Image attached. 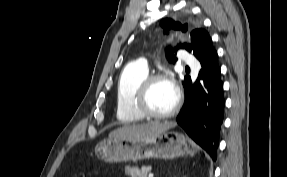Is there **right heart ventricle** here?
I'll return each instance as SVG.
<instances>
[{
	"label": "right heart ventricle",
	"instance_id": "e07e8e85",
	"mask_svg": "<svg viewBox=\"0 0 287 177\" xmlns=\"http://www.w3.org/2000/svg\"><path fill=\"white\" fill-rule=\"evenodd\" d=\"M148 75V67L138 63L129 64L122 70L116 86V117L121 123H136L144 118L135 110L133 99Z\"/></svg>",
	"mask_w": 287,
	"mask_h": 177
}]
</instances>
